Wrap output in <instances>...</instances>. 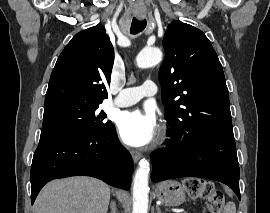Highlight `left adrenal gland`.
Listing matches in <instances>:
<instances>
[{
  "mask_svg": "<svg viewBox=\"0 0 270 213\" xmlns=\"http://www.w3.org/2000/svg\"><path fill=\"white\" fill-rule=\"evenodd\" d=\"M156 209H157V213H162L159 206H156Z\"/></svg>",
  "mask_w": 270,
  "mask_h": 213,
  "instance_id": "obj_1",
  "label": "left adrenal gland"
}]
</instances>
